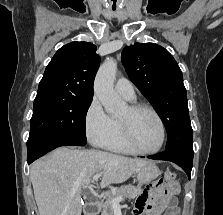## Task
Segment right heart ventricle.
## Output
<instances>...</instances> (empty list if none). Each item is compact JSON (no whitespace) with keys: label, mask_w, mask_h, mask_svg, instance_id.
<instances>
[{"label":"right heart ventricle","mask_w":223,"mask_h":215,"mask_svg":"<svg viewBox=\"0 0 223 215\" xmlns=\"http://www.w3.org/2000/svg\"><path fill=\"white\" fill-rule=\"evenodd\" d=\"M102 147L112 152L132 154L122 139L119 120H115V126L110 135L103 141Z\"/></svg>","instance_id":"e07e8e85"}]
</instances>
